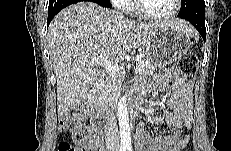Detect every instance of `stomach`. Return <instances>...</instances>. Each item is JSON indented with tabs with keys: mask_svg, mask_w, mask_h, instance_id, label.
Segmentation results:
<instances>
[{
	"mask_svg": "<svg viewBox=\"0 0 231 151\" xmlns=\"http://www.w3.org/2000/svg\"><path fill=\"white\" fill-rule=\"evenodd\" d=\"M189 35L171 23L161 24L146 40L144 54L158 67L166 66L187 54Z\"/></svg>",
	"mask_w": 231,
	"mask_h": 151,
	"instance_id": "1",
	"label": "stomach"
}]
</instances>
